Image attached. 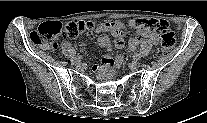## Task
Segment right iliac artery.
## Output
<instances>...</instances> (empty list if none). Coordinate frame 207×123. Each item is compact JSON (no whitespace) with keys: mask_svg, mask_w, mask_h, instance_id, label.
Returning a JSON list of instances; mask_svg holds the SVG:
<instances>
[{"mask_svg":"<svg viewBox=\"0 0 207 123\" xmlns=\"http://www.w3.org/2000/svg\"><path fill=\"white\" fill-rule=\"evenodd\" d=\"M81 58H82L81 56L73 57V58L71 59V62L74 63L75 61H77V60H79V59H81Z\"/></svg>","mask_w":207,"mask_h":123,"instance_id":"obj_1","label":"right iliac artery"}]
</instances>
